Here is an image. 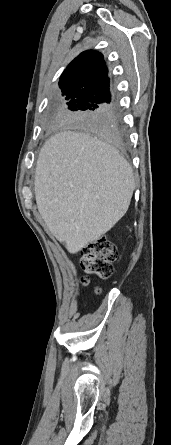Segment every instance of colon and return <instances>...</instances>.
I'll return each instance as SVG.
<instances>
[{
  "label": "colon",
  "instance_id": "colon-1",
  "mask_svg": "<svg viewBox=\"0 0 171 445\" xmlns=\"http://www.w3.org/2000/svg\"><path fill=\"white\" fill-rule=\"evenodd\" d=\"M117 248L106 238L85 245L81 250L80 264L85 272L81 283L88 286L90 275L106 277L112 271L111 262L116 258Z\"/></svg>",
  "mask_w": 171,
  "mask_h": 445
}]
</instances>
